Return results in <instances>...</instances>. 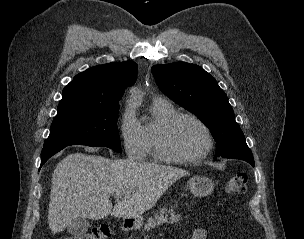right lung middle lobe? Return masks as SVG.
I'll return each instance as SVG.
<instances>
[{
    "label": "right lung middle lobe",
    "instance_id": "obj_1",
    "mask_svg": "<svg viewBox=\"0 0 304 239\" xmlns=\"http://www.w3.org/2000/svg\"><path fill=\"white\" fill-rule=\"evenodd\" d=\"M119 106L58 112L43 149L69 145L105 146L121 152L117 131Z\"/></svg>",
    "mask_w": 304,
    "mask_h": 239
}]
</instances>
